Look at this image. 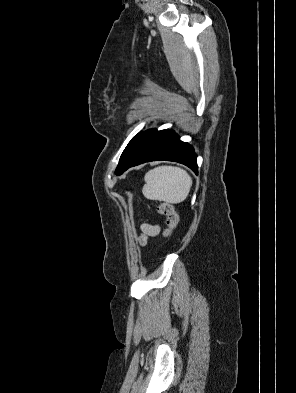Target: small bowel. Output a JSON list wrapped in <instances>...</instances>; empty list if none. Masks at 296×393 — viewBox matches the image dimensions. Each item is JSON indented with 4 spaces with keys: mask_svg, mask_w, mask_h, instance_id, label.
<instances>
[{
    "mask_svg": "<svg viewBox=\"0 0 296 393\" xmlns=\"http://www.w3.org/2000/svg\"><path fill=\"white\" fill-rule=\"evenodd\" d=\"M142 235L140 237V243L145 244L149 237L157 236L160 233V226L156 224H141Z\"/></svg>",
    "mask_w": 296,
    "mask_h": 393,
    "instance_id": "obj_1",
    "label": "small bowel"
}]
</instances>
